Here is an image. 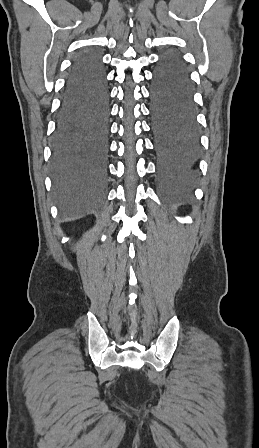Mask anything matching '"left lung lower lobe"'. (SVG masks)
Wrapping results in <instances>:
<instances>
[{
	"label": "left lung lower lobe",
	"instance_id": "left-lung-lower-lobe-1",
	"mask_svg": "<svg viewBox=\"0 0 259 448\" xmlns=\"http://www.w3.org/2000/svg\"><path fill=\"white\" fill-rule=\"evenodd\" d=\"M151 132L160 175L171 187L187 186L201 153L200 131L188 69L180 57L165 55L150 88Z\"/></svg>",
	"mask_w": 259,
	"mask_h": 448
}]
</instances>
